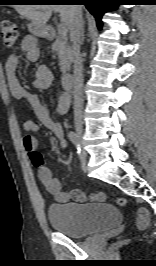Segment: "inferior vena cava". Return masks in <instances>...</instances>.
<instances>
[{
    "label": "inferior vena cava",
    "mask_w": 156,
    "mask_h": 266,
    "mask_svg": "<svg viewBox=\"0 0 156 266\" xmlns=\"http://www.w3.org/2000/svg\"><path fill=\"white\" fill-rule=\"evenodd\" d=\"M73 20L70 28V37L72 41V52H73V111L74 120L81 122L82 119V108H83V66L82 58L80 55L81 45V29H82V15L77 5H73Z\"/></svg>",
    "instance_id": "obj_1"
}]
</instances>
